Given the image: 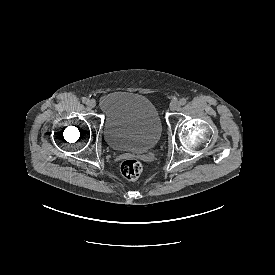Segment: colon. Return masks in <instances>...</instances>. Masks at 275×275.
Wrapping results in <instances>:
<instances>
[{"mask_svg": "<svg viewBox=\"0 0 275 275\" xmlns=\"http://www.w3.org/2000/svg\"><path fill=\"white\" fill-rule=\"evenodd\" d=\"M120 171L124 179L132 181L140 176L142 164L137 159H126L122 162Z\"/></svg>", "mask_w": 275, "mask_h": 275, "instance_id": "colon-1", "label": "colon"}]
</instances>
